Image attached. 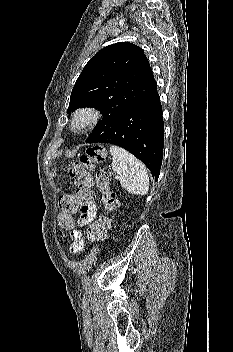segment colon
Instances as JSON below:
<instances>
[{"label": "colon", "mask_w": 233, "mask_h": 352, "mask_svg": "<svg viewBox=\"0 0 233 352\" xmlns=\"http://www.w3.org/2000/svg\"><path fill=\"white\" fill-rule=\"evenodd\" d=\"M105 150L101 146H93L86 150L85 153L74 162L69 170V175L74 179L76 185V193L74 196H63L60 199V209L58 220L64 229H72L74 226V214L78 207H86L94 199L91 190L92 177L89 170L96 165L102 163L105 159ZM96 184L103 194V202L108 212H113L117 205L115 194L109 189L108 175L99 170L96 174ZM112 224V218L102 216L89 225L87 237L92 242L103 241Z\"/></svg>", "instance_id": "colon-1"}]
</instances>
